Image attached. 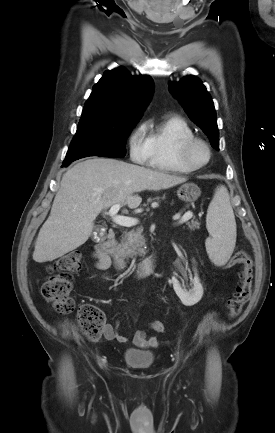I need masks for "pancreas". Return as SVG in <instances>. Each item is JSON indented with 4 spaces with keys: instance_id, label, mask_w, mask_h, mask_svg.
<instances>
[{
    "instance_id": "1",
    "label": "pancreas",
    "mask_w": 275,
    "mask_h": 433,
    "mask_svg": "<svg viewBox=\"0 0 275 433\" xmlns=\"http://www.w3.org/2000/svg\"><path fill=\"white\" fill-rule=\"evenodd\" d=\"M190 230H195L200 228V223L196 220H192L187 223ZM143 245V237L141 235L140 229H132L130 231H125L122 235L120 243L117 245V252L125 259L133 258L137 254L144 253L141 248Z\"/></svg>"
}]
</instances>
